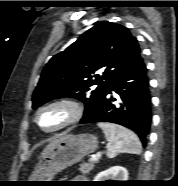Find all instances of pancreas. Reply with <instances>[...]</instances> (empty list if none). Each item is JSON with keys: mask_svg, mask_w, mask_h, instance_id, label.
I'll return each mask as SVG.
<instances>
[{"mask_svg": "<svg viewBox=\"0 0 178 186\" xmlns=\"http://www.w3.org/2000/svg\"><path fill=\"white\" fill-rule=\"evenodd\" d=\"M98 161L99 158L93 162L80 164V168H79L80 173H82L83 175L90 173V171L94 168V165L98 163Z\"/></svg>", "mask_w": 178, "mask_h": 186, "instance_id": "pancreas-1", "label": "pancreas"}]
</instances>
